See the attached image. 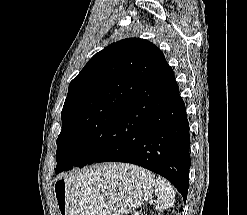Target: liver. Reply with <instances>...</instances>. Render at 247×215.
I'll use <instances>...</instances> for the list:
<instances>
[{"label": "liver", "instance_id": "1", "mask_svg": "<svg viewBox=\"0 0 247 215\" xmlns=\"http://www.w3.org/2000/svg\"><path fill=\"white\" fill-rule=\"evenodd\" d=\"M121 168H123V166H121ZM102 169L107 173H110L116 169V166L115 164H107V165H103Z\"/></svg>", "mask_w": 247, "mask_h": 215}]
</instances>
